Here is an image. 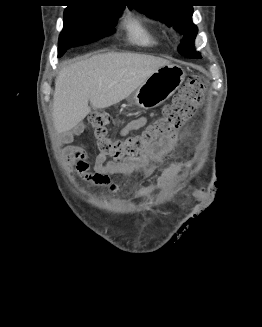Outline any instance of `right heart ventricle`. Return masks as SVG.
I'll return each mask as SVG.
<instances>
[{
	"instance_id": "e07e8e85",
	"label": "right heart ventricle",
	"mask_w": 262,
	"mask_h": 327,
	"mask_svg": "<svg viewBox=\"0 0 262 327\" xmlns=\"http://www.w3.org/2000/svg\"><path fill=\"white\" fill-rule=\"evenodd\" d=\"M123 29L127 40L134 45L153 47L158 44V39L153 31L138 18H127L123 22Z\"/></svg>"
}]
</instances>
